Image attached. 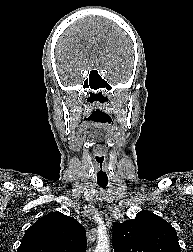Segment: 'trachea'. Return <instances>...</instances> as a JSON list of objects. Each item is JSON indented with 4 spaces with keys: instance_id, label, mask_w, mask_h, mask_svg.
<instances>
[{
    "instance_id": "trachea-1",
    "label": "trachea",
    "mask_w": 193,
    "mask_h": 252,
    "mask_svg": "<svg viewBox=\"0 0 193 252\" xmlns=\"http://www.w3.org/2000/svg\"><path fill=\"white\" fill-rule=\"evenodd\" d=\"M98 185L100 186V187H106L107 186V183H98Z\"/></svg>"
}]
</instances>
